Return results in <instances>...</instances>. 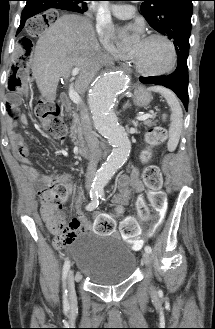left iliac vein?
<instances>
[{
    "instance_id": "left-iliac-vein-1",
    "label": "left iliac vein",
    "mask_w": 215,
    "mask_h": 329,
    "mask_svg": "<svg viewBox=\"0 0 215 329\" xmlns=\"http://www.w3.org/2000/svg\"><path fill=\"white\" fill-rule=\"evenodd\" d=\"M142 259H143V262H144L145 266L149 267V265H150V255H149L148 252L143 253V258Z\"/></svg>"
}]
</instances>
